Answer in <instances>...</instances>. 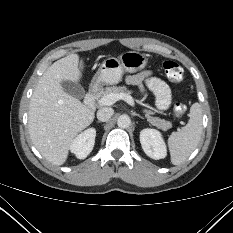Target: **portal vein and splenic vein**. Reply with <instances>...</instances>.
Returning a JSON list of instances; mask_svg holds the SVG:
<instances>
[{"instance_id": "obj_1", "label": "portal vein and splenic vein", "mask_w": 233, "mask_h": 233, "mask_svg": "<svg viewBox=\"0 0 233 233\" xmlns=\"http://www.w3.org/2000/svg\"><path fill=\"white\" fill-rule=\"evenodd\" d=\"M118 100H124L130 106H134L135 104L133 98L129 94H126V93H117V94L112 93V94L106 95L98 101V104L100 106H110Z\"/></svg>"}]
</instances>
